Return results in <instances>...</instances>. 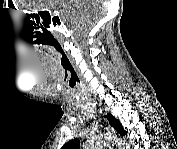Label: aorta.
<instances>
[{"label": "aorta", "mask_w": 177, "mask_h": 149, "mask_svg": "<svg viewBox=\"0 0 177 149\" xmlns=\"http://www.w3.org/2000/svg\"><path fill=\"white\" fill-rule=\"evenodd\" d=\"M110 141V137L106 135L98 136L93 139L91 142L87 143L84 148L85 149H103L106 144Z\"/></svg>", "instance_id": "1"}]
</instances>
